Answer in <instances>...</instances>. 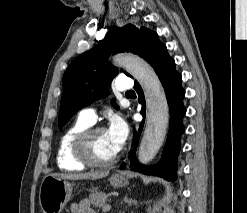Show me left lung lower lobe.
<instances>
[{"mask_svg": "<svg viewBox=\"0 0 247 213\" xmlns=\"http://www.w3.org/2000/svg\"><path fill=\"white\" fill-rule=\"evenodd\" d=\"M154 70L158 75L168 100L170 108V126L167 141L163 150L160 162L155 166H145L140 164L135 156L138 140L143 129L142 123L139 126L138 132H134V140L136 138L135 147L130 155V168L133 171H138L143 174L155 175L165 178L166 180H174L177 170V157L180 151V137L184 132L182 124L185 108L183 106V98L185 91L181 86V75L175 69V62L171 57L157 63ZM135 90L139 95V102L142 104L141 114L145 118V99L143 91L136 83ZM125 164L121 165L124 168Z\"/></svg>", "mask_w": 247, "mask_h": 213, "instance_id": "1", "label": "left lung lower lobe"}]
</instances>
